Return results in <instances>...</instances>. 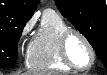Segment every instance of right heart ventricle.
I'll list each match as a JSON object with an SVG mask.
<instances>
[{
    "instance_id": "e07e8e85",
    "label": "right heart ventricle",
    "mask_w": 107,
    "mask_h": 75,
    "mask_svg": "<svg viewBox=\"0 0 107 75\" xmlns=\"http://www.w3.org/2000/svg\"><path fill=\"white\" fill-rule=\"evenodd\" d=\"M68 28L58 13L46 10L27 50V68L38 72L70 71L71 68L62 61L59 51L60 37Z\"/></svg>"
}]
</instances>
